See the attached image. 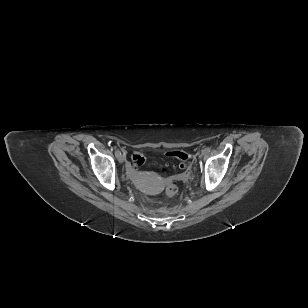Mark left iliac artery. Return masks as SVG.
Masks as SVG:
<instances>
[{
	"instance_id": "obj_1",
	"label": "left iliac artery",
	"mask_w": 308,
	"mask_h": 308,
	"mask_svg": "<svg viewBox=\"0 0 308 308\" xmlns=\"http://www.w3.org/2000/svg\"><path fill=\"white\" fill-rule=\"evenodd\" d=\"M205 150H206L207 152H210L211 148H210V147H207V148H205Z\"/></svg>"
}]
</instances>
